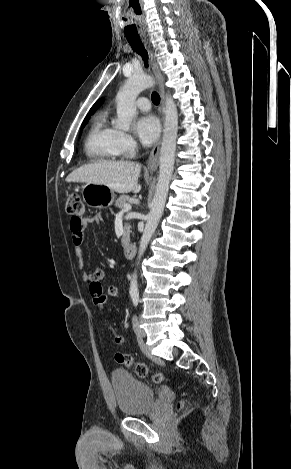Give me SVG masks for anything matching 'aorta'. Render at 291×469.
<instances>
[{
	"label": "aorta",
	"mask_w": 291,
	"mask_h": 469,
	"mask_svg": "<svg viewBox=\"0 0 291 469\" xmlns=\"http://www.w3.org/2000/svg\"><path fill=\"white\" fill-rule=\"evenodd\" d=\"M155 84L152 77L140 74L133 75L125 82V84L119 89L116 102H117V120L115 121V127L128 131L133 118L136 116V98L141 91L150 88ZM178 132V112L177 107L173 99L166 95L165 99V122L163 130V140L160 150L159 160V177L156 186L154 198L152 200L151 210L147 216L145 229L143 231L138 259L145 252L148 243L155 232L158 222L163 214L165 202L169 190V182L174 169L175 162V151H176V139ZM130 294H136L138 292L137 274L136 271L132 275L130 288Z\"/></svg>",
	"instance_id": "obj_1"
}]
</instances>
